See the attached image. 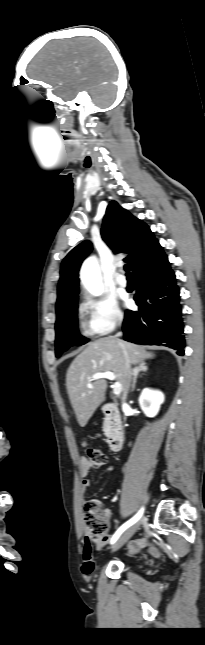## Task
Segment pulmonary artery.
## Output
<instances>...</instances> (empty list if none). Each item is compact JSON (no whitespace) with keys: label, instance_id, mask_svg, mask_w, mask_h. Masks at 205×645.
<instances>
[{"label":"pulmonary artery","instance_id":"1","mask_svg":"<svg viewBox=\"0 0 205 645\" xmlns=\"http://www.w3.org/2000/svg\"><path fill=\"white\" fill-rule=\"evenodd\" d=\"M115 280H116V283H117L120 287H126V286L128 285V281H127L126 277H125L123 274H121V273H118V274L116 275Z\"/></svg>","mask_w":205,"mask_h":645}]
</instances>
